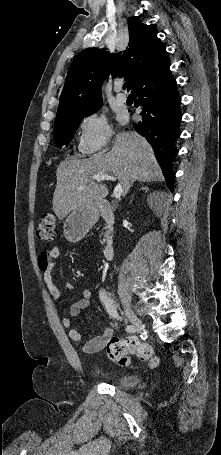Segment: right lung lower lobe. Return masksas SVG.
Instances as JSON below:
<instances>
[{
    "mask_svg": "<svg viewBox=\"0 0 221 455\" xmlns=\"http://www.w3.org/2000/svg\"><path fill=\"white\" fill-rule=\"evenodd\" d=\"M170 60L165 51L134 84L132 96L135 107H142V120L134 125L152 145L167 185L172 191L175 173L173 160L180 137L181 97L176 80L170 70Z\"/></svg>",
    "mask_w": 221,
    "mask_h": 455,
    "instance_id": "right-lung-lower-lobe-1",
    "label": "right lung lower lobe"
}]
</instances>
